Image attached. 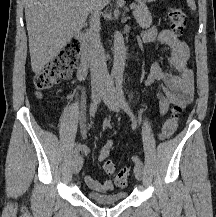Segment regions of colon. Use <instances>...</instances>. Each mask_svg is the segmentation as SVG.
<instances>
[{
	"instance_id": "colon-1",
	"label": "colon",
	"mask_w": 216,
	"mask_h": 217,
	"mask_svg": "<svg viewBox=\"0 0 216 217\" xmlns=\"http://www.w3.org/2000/svg\"><path fill=\"white\" fill-rule=\"evenodd\" d=\"M168 18L171 30L176 35H182L186 28V15L180 7H172L169 10ZM81 45L77 40L69 41L64 48L54 56L34 77V86L38 95L49 90L61 80L68 79L75 70ZM181 112L179 106H174L171 116L164 122L160 131V139L170 138L178 127V117ZM104 130L113 127V120L107 118L103 121ZM105 172L114 173V165L111 160L104 163ZM128 169L123 168L114 173L115 183L124 186L127 182Z\"/></svg>"
}]
</instances>
